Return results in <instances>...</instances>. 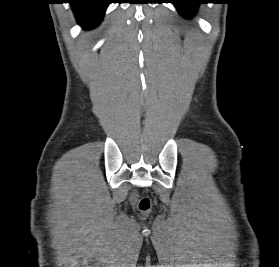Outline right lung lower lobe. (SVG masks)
<instances>
[{
    "mask_svg": "<svg viewBox=\"0 0 279 267\" xmlns=\"http://www.w3.org/2000/svg\"><path fill=\"white\" fill-rule=\"evenodd\" d=\"M109 3L110 0H70L78 23L84 28L96 26Z\"/></svg>",
    "mask_w": 279,
    "mask_h": 267,
    "instance_id": "98d812e1",
    "label": "right lung lower lobe"
}]
</instances>
